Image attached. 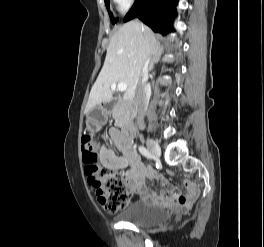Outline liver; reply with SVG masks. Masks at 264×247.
I'll return each instance as SVG.
<instances>
[{"label":"liver","instance_id":"1","mask_svg":"<svg viewBox=\"0 0 264 247\" xmlns=\"http://www.w3.org/2000/svg\"><path fill=\"white\" fill-rule=\"evenodd\" d=\"M160 44L152 30L136 21H130L118 29L110 39L106 58L94 83L86 110L112 100L111 85L125 82L124 100L134 98L142 65L151 55L161 54Z\"/></svg>","mask_w":264,"mask_h":247}]
</instances>
